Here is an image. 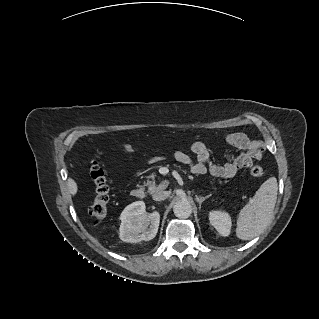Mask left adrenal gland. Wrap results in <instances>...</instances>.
Returning a JSON list of instances; mask_svg holds the SVG:
<instances>
[{
  "mask_svg": "<svg viewBox=\"0 0 319 319\" xmlns=\"http://www.w3.org/2000/svg\"><path fill=\"white\" fill-rule=\"evenodd\" d=\"M211 195H207L205 197H202V196H199V197H196V201L199 203V206L201 207L202 203L208 199Z\"/></svg>",
  "mask_w": 319,
  "mask_h": 319,
  "instance_id": "a2214340",
  "label": "left adrenal gland"
}]
</instances>
